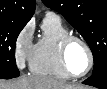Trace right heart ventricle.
Returning <instances> with one entry per match:
<instances>
[{"label":"right heart ventricle","instance_id":"e07e8e85","mask_svg":"<svg viewBox=\"0 0 107 89\" xmlns=\"http://www.w3.org/2000/svg\"><path fill=\"white\" fill-rule=\"evenodd\" d=\"M69 30L59 16L46 14L42 33L34 45L30 57V69L34 74L47 75L57 79L70 78L63 70L58 55L59 42Z\"/></svg>","mask_w":107,"mask_h":89}]
</instances>
